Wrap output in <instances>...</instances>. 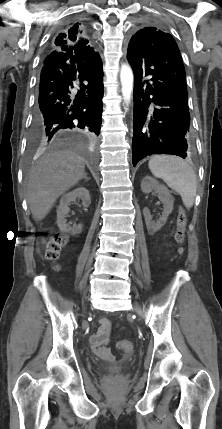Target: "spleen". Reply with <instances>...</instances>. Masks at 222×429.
I'll list each match as a JSON object with an SVG mask.
<instances>
[{
	"label": "spleen",
	"mask_w": 222,
	"mask_h": 429,
	"mask_svg": "<svg viewBox=\"0 0 222 429\" xmlns=\"http://www.w3.org/2000/svg\"><path fill=\"white\" fill-rule=\"evenodd\" d=\"M148 166L155 177L162 178L171 189L180 194L186 208L193 206L197 180L194 170L186 161L177 156L155 155Z\"/></svg>",
	"instance_id": "3e777b00"
}]
</instances>
